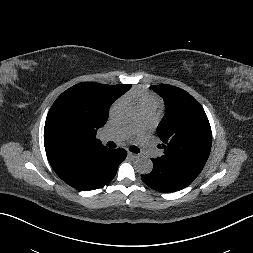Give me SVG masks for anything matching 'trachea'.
Wrapping results in <instances>:
<instances>
[{
  "instance_id": "obj_1",
  "label": "trachea",
  "mask_w": 253,
  "mask_h": 253,
  "mask_svg": "<svg viewBox=\"0 0 253 253\" xmlns=\"http://www.w3.org/2000/svg\"><path fill=\"white\" fill-rule=\"evenodd\" d=\"M107 146H109V147H111V148H115V147H116V144H115L114 142L110 141V142L107 143ZM129 150H130L131 152H133V153H139V152H140V149H139L138 147H136V146H131V147L129 148Z\"/></svg>"
}]
</instances>
